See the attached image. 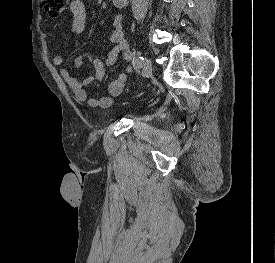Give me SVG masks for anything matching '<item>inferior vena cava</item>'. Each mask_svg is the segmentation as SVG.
<instances>
[{
	"instance_id": "inferior-vena-cava-1",
	"label": "inferior vena cava",
	"mask_w": 275,
	"mask_h": 263,
	"mask_svg": "<svg viewBox=\"0 0 275 263\" xmlns=\"http://www.w3.org/2000/svg\"><path fill=\"white\" fill-rule=\"evenodd\" d=\"M148 9V0H132V11L134 18L143 20Z\"/></svg>"
}]
</instances>
